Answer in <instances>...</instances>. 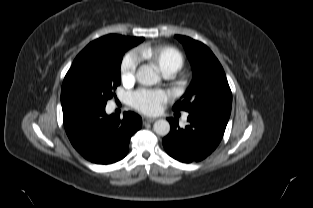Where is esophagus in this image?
<instances>
[{
	"mask_svg": "<svg viewBox=\"0 0 313 208\" xmlns=\"http://www.w3.org/2000/svg\"><path fill=\"white\" fill-rule=\"evenodd\" d=\"M142 121H143V124H146V123H152L155 121L154 118H147V117H143L142 118Z\"/></svg>",
	"mask_w": 313,
	"mask_h": 208,
	"instance_id": "1",
	"label": "esophagus"
}]
</instances>
